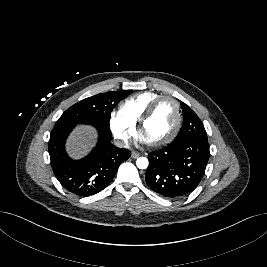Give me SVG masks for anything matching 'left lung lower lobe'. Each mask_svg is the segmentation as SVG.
I'll return each mask as SVG.
<instances>
[{
	"label": "left lung lower lobe",
	"mask_w": 267,
	"mask_h": 267,
	"mask_svg": "<svg viewBox=\"0 0 267 267\" xmlns=\"http://www.w3.org/2000/svg\"><path fill=\"white\" fill-rule=\"evenodd\" d=\"M208 140L191 138L149 153L147 185L166 198H181L200 183L209 159Z\"/></svg>",
	"instance_id": "obj_1"
}]
</instances>
